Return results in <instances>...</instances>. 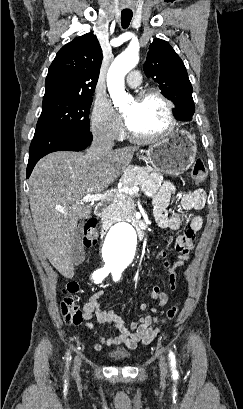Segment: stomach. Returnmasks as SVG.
Returning <instances> with one entry per match:
<instances>
[{
    "label": "stomach",
    "instance_id": "stomach-1",
    "mask_svg": "<svg viewBox=\"0 0 243 409\" xmlns=\"http://www.w3.org/2000/svg\"><path fill=\"white\" fill-rule=\"evenodd\" d=\"M144 152V161L154 170L177 175L193 164L197 145L195 138L189 132L175 130L149 146Z\"/></svg>",
    "mask_w": 243,
    "mask_h": 409
}]
</instances>
